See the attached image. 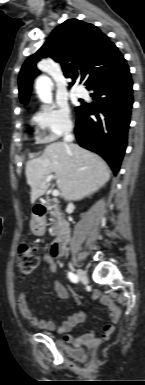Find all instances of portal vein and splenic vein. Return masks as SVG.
Instances as JSON below:
<instances>
[{"mask_svg": "<svg viewBox=\"0 0 145 385\" xmlns=\"http://www.w3.org/2000/svg\"><path fill=\"white\" fill-rule=\"evenodd\" d=\"M52 179H55L54 175H49V176L46 177L47 181H51ZM52 195L53 196H58L59 195V190H57V189L53 190Z\"/></svg>", "mask_w": 145, "mask_h": 385, "instance_id": "18ae733b", "label": "portal vein and splenic vein"}]
</instances>
